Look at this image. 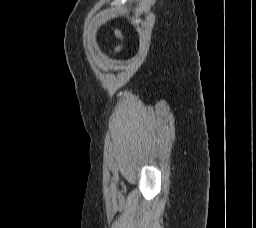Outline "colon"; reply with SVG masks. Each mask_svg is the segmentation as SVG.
Instances as JSON below:
<instances>
[{
  "label": "colon",
  "mask_w": 256,
  "mask_h": 228,
  "mask_svg": "<svg viewBox=\"0 0 256 228\" xmlns=\"http://www.w3.org/2000/svg\"><path fill=\"white\" fill-rule=\"evenodd\" d=\"M115 34H116V37L118 39H125V34L120 30V29H116L115 30ZM124 49V46H117L116 49H115V52L116 53H119L121 52L122 50Z\"/></svg>",
  "instance_id": "obj_1"
}]
</instances>
